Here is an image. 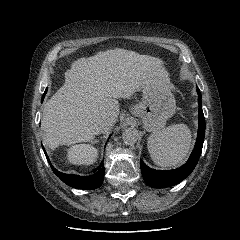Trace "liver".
<instances>
[{
  "label": "liver",
  "instance_id": "1",
  "mask_svg": "<svg viewBox=\"0 0 240 240\" xmlns=\"http://www.w3.org/2000/svg\"><path fill=\"white\" fill-rule=\"evenodd\" d=\"M169 81L161 59L116 48L80 58L65 72L64 85L44 104L43 143L51 150L60 145L89 142L99 121L107 116L115 124L118 98H128L146 81Z\"/></svg>",
  "mask_w": 240,
  "mask_h": 240
}]
</instances>
